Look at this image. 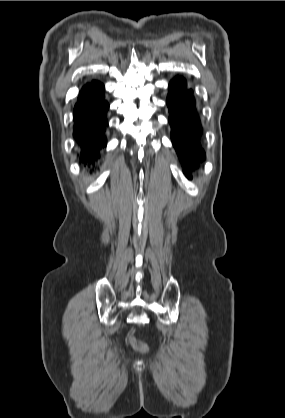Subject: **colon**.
<instances>
[{
	"mask_svg": "<svg viewBox=\"0 0 285 418\" xmlns=\"http://www.w3.org/2000/svg\"><path fill=\"white\" fill-rule=\"evenodd\" d=\"M128 341L133 348L144 351L147 349V344L144 340L135 337L132 333H128Z\"/></svg>",
	"mask_w": 285,
	"mask_h": 418,
	"instance_id": "5ec220e1",
	"label": "colon"
}]
</instances>
